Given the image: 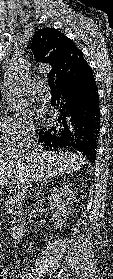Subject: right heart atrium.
I'll list each match as a JSON object with an SVG mask.
<instances>
[{
    "mask_svg": "<svg viewBox=\"0 0 113 279\" xmlns=\"http://www.w3.org/2000/svg\"><path fill=\"white\" fill-rule=\"evenodd\" d=\"M6 125L10 141H19L36 132L31 111L27 109L13 112L6 117Z\"/></svg>",
    "mask_w": 113,
    "mask_h": 279,
    "instance_id": "1",
    "label": "right heart atrium"
}]
</instances>
